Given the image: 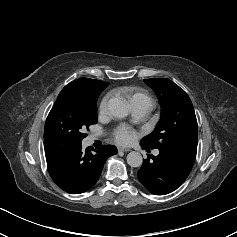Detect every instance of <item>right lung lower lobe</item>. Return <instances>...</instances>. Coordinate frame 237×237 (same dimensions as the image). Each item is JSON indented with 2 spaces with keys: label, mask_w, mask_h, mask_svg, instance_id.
<instances>
[{
  "label": "right lung lower lobe",
  "mask_w": 237,
  "mask_h": 237,
  "mask_svg": "<svg viewBox=\"0 0 237 237\" xmlns=\"http://www.w3.org/2000/svg\"><path fill=\"white\" fill-rule=\"evenodd\" d=\"M47 167L53 181L64 191L79 194L89 190L98 180L106 159L117 153L107 145L91 151L81 142L61 139L44 140Z\"/></svg>",
  "instance_id": "98d812e1"
}]
</instances>
